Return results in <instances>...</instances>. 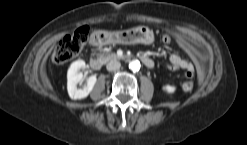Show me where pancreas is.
I'll use <instances>...</instances> for the list:
<instances>
[{
	"label": "pancreas",
	"instance_id": "obj_1",
	"mask_svg": "<svg viewBox=\"0 0 247 145\" xmlns=\"http://www.w3.org/2000/svg\"><path fill=\"white\" fill-rule=\"evenodd\" d=\"M99 58L102 59L103 62H108L111 59L119 58L115 53H106L99 55Z\"/></svg>",
	"mask_w": 247,
	"mask_h": 145
}]
</instances>
